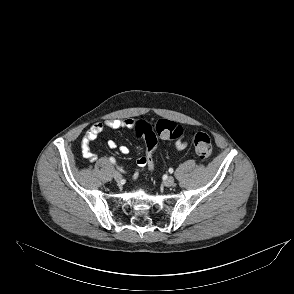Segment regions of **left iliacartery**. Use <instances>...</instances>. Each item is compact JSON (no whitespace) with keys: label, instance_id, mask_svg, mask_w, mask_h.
Instances as JSON below:
<instances>
[{"label":"left iliac artery","instance_id":"44dca946","mask_svg":"<svg viewBox=\"0 0 294 294\" xmlns=\"http://www.w3.org/2000/svg\"><path fill=\"white\" fill-rule=\"evenodd\" d=\"M167 170H168V173H169V174H172L174 169H173V167L170 166V167H168Z\"/></svg>","mask_w":294,"mask_h":294}]
</instances>
